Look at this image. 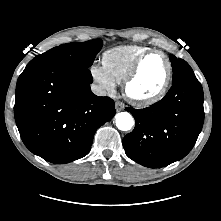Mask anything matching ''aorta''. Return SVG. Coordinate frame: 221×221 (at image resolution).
Instances as JSON below:
<instances>
[{
  "label": "aorta",
  "mask_w": 221,
  "mask_h": 221,
  "mask_svg": "<svg viewBox=\"0 0 221 221\" xmlns=\"http://www.w3.org/2000/svg\"><path fill=\"white\" fill-rule=\"evenodd\" d=\"M115 124L119 130L128 131L134 125V119L128 112H121L115 115Z\"/></svg>",
  "instance_id": "762f6f07"
}]
</instances>
